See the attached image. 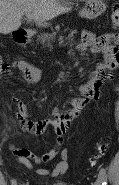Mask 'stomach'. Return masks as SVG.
I'll return each mask as SVG.
<instances>
[{
	"label": "stomach",
	"instance_id": "0dacf381",
	"mask_svg": "<svg viewBox=\"0 0 119 185\" xmlns=\"http://www.w3.org/2000/svg\"><path fill=\"white\" fill-rule=\"evenodd\" d=\"M85 6L80 11V16L86 19H94L101 15L105 10L106 6L103 0H85ZM33 33L27 35L30 38Z\"/></svg>",
	"mask_w": 119,
	"mask_h": 185
}]
</instances>
